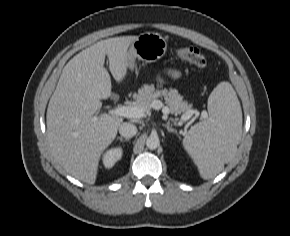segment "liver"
<instances>
[{"instance_id": "obj_1", "label": "liver", "mask_w": 290, "mask_h": 236, "mask_svg": "<svg viewBox=\"0 0 290 236\" xmlns=\"http://www.w3.org/2000/svg\"><path fill=\"white\" fill-rule=\"evenodd\" d=\"M137 36L101 40L75 55L63 68L46 115L51 152L63 169L88 184H94L103 151L112 143L123 119L94 114L102 99L111 95V78L105 57L116 80L128 71V47Z\"/></svg>"}]
</instances>
